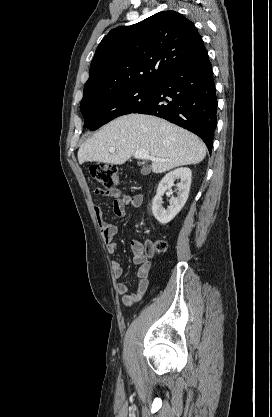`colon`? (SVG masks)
<instances>
[{
  "label": "colon",
  "mask_w": 272,
  "mask_h": 417,
  "mask_svg": "<svg viewBox=\"0 0 272 417\" xmlns=\"http://www.w3.org/2000/svg\"><path fill=\"white\" fill-rule=\"evenodd\" d=\"M90 175L98 183L107 188L116 186L119 183V172L115 165L108 163H95L90 166ZM167 245L163 241H157L154 244V249L158 252L164 251Z\"/></svg>",
  "instance_id": "colon-1"
}]
</instances>
